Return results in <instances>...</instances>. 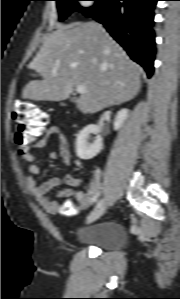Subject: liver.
Here are the masks:
<instances>
[{
	"label": "liver",
	"mask_w": 180,
	"mask_h": 299,
	"mask_svg": "<svg viewBox=\"0 0 180 299\" xmlns=\"http://www.w3.org/2000/svg\"><path fill=\"white\" fill-rule=\"evenodd\" d=\"M29 68L42 80L30 81L23 98L62 101L82 85L86 92L76 105L83 113L130 101L141 88L139 66L95 22L59 25L44 40Z\"/></svg>",
	"instance_id": "1"
}]
</instances>
